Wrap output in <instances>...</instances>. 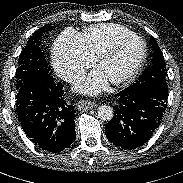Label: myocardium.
<instances>
[{"label": "myocardium", "instance_id": "1", "mask_svg": "<svg viewBox=\"0 0 183 183\" xmlns=\"http://www.w3.org/2000/svg\"><path fill=\"white\" fill-rule=\"evenodd\" d=\"M133 40L141 43V45H142L141 54H140L137 62L133 66V68L128 73L111 80V83L114 85L127 84V83L133 81L137 77V75L140 73V71L144 65V62L146 60V56H147V46H146L145 41L137 35L123 37V38L118 39L110 47L105 49L103 52H101L96 57V66L99 67L103 61H105L109 57L113 56L123 44H125L129 41H133Z\"/></svg>", "mask_w": 183, "mask_h": 183}]
</instances>
